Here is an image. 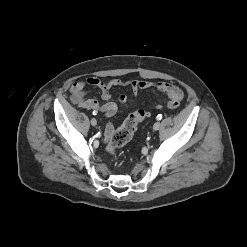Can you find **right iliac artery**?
Masks as SVG:
<instances>
[{
  "mask_svg": "<svg viewBox=\"0 0 247 247\" xmlns=\"http://www.w3.org/2000/svg\"><path fill=\"white\" fill-rule=\"evenodd\" d=\"M93 114H94V115H96V112H95V111H93Z\"/></svg>",
  "mask_w": 247,
  "mask_h": 247,
  "instance_id": "obj_1",
  "label": "right iliac artery"
}]
</instances>
